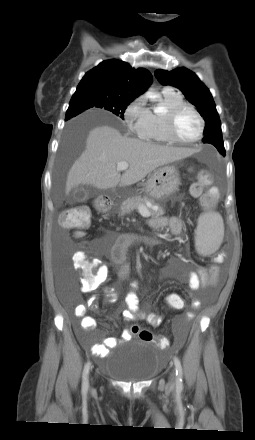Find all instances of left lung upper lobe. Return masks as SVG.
<instances>
[{"label": "left lung upper lobe", "instance_id": "obj_1", "mask_svg": "<svg viewBox=\"0 0 255 440\" xmlns=\"http://www.w3.org/2000/svg\"><path fill=\"white\" fill-rule=\"evenodd\" d=\"M156 78L163 85H171L180 89L189 102L195 105L205 120L204 143L214 145L225 155L222 139L221 122L209 89L199 80L195 73L180 67L172 71L157 70Z\"/></svg>", "mask_w": 255, "mask_h": 440}]
</instances>
